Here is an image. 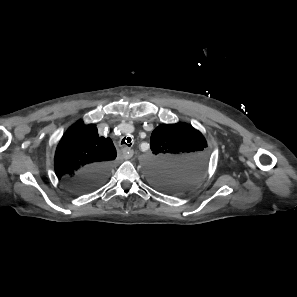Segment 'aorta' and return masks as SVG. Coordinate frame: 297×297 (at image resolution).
<instances>
[{
    "mask_svg": "<svg viewBox=\"0 0 297 297\" xmlns=\"http://www.w3.org/2000/svg\"><path fill=\"white\" fill-rule=\"evenodd\" d=\"M150 162H153V160L152 161H150ZM154 172V167H152V168H150L149 170H148V174H149V176L151 175V173H153Z\"/></svg>",
    "mask_w": 297,
    "mask_h": 297,
    "instance_id": "obj_1",
    "label": "aorta"
}]
</instances>
